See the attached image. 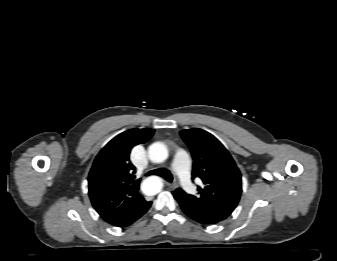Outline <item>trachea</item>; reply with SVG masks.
<instances>
[{"instance_id": "trachea-1", "label": "trachea", "mask_w": 337, "mask_h": 261, "mask_svg": "<svg viewBox=\"0 0 337 261\" xmlns=\"http://www.w3.org/2000/svg\"><path fill=\"white\" fill-rule=\"evenodd\" d=\"M149 175L162 176L163 178H165L169 182H171L173 180L172 175L167 170H163V169H156V170L150 171L146 174V176H149Z\"/></svg>"}]
</instances>
